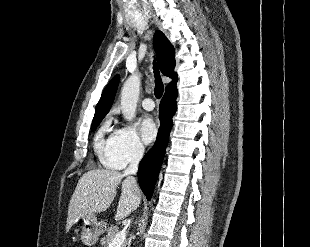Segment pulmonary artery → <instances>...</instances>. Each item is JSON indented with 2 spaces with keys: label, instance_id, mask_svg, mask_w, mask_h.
I'll use <instances>...</instances> for the list:
<instances>
[{
  "label": "pulmonary artery",
  "instance_id": "obj_1",
  "mask_svg": "<svg viewBox=\"0 0 310 247\" xmlns=\"http://www.w3.org/2000/svg\"><path fill=\"white\" fill-rule=\"evenodd\" d=\"M142 106L145 110H153L154 107H155V104H154V101L151 99V98H145L143 101H142Z\"/></svg>",
  "mask_w": 310,
  "mask_h": 247
}]
</instances>
